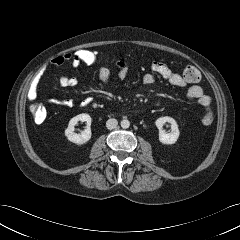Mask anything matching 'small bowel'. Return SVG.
I'll use <instances>...</instances> for the list:
<instances>
[{"mask_svg":"<svg viewBox=\"0 0 240 240\" xmlns=\"http://www.w3.org/2000/svg\"><path fill=\"white\" fill-rule=\"evenodd\" d=\"M51 64L55 66H61L64 64H71L69 54H63L52 59ZM118 68V77L120 79H126L129 73V67L124 61H118L116 64ZM151 72L145 73L142 76V82L146 85H150L155 80V75H158L165 79L170 85L174 87H185L188 82L184 76L172 71L165 63L161 61H153L151 63ZM111 78L110 70L107 67H101L98 73V79L102 84L109 83ZM59 83L62 87H75L78 83L76 78L63 75L60 77ZM39 80L36 79L32 82L27 92V98L32 101L37 97ZM186 96L188 100L195 101L203 107H209L212 103V98L205 94L202 87L198 84H192L187 87ZM49 102L53 105H61L65 107H72L74 101L69 98L58 99L51 98ZM90 103V100H86L82 103V106H86Z\"/></svg>","mask_w":240,"mask_h":240,"instance_id":"1","label":"small bowel"}]
</instances>
